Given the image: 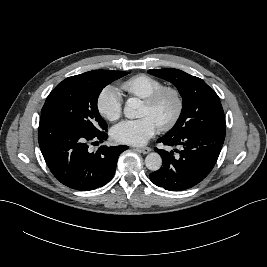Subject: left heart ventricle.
<instances>
[{
  "instance_id": "1",
  "label": "left heart ventricle",
  "mask_w": 267,
  "mask_h": 267,
  "mask_svg": "<svg viewBox=\"0 0 267 267\" xmlns=\"http://www.w3.org/2000/svg\"><path fill=\"white\" fill-rule=\"evenodd\" d=\"M175 110V100L172 95H165L155 108H150L143 103L140 116L151 117L158 126L166 122Z\"/></svg>"
}]
</instances>
